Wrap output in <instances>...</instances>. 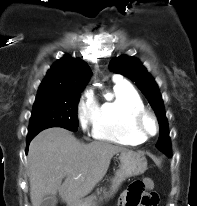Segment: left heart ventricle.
<instances>
[{
  "instance_id": "obj_1",
  "label": "left heart ventricle",
  "mask_w": 197,
  "mask_h": 206,
  "mask_svg": "<svg viewBox=\"0 0 197 206\" xmlns=\"http://www.w3.org/2000/svg\"><path fill=\"white\" fill-rule=\"evenodd\" d=\"M146 129H147L148 131H152L153 127H152V124H151L150 122H147V124H146Z\"/></svg>"
}]
</instances>
